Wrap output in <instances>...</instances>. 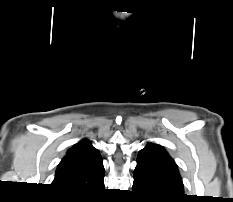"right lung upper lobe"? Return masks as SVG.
Returning a JSON list of instances; mask_svg holds the SVG:
<instances>
[{"label":"right lung upper lobe","mask_w":233,"mask_h":202,"mask_svg":"<svg viewBox=\"0 0 233 202\" xmlns=\"http://www.w3.org/2000/svg\"><path fill=\"white\" fill-rule=\"evenodd\" d=\"M103 178L99 150L83 140L69 149L59 163L52 186L71 195L87 196L104 188Z\"/></svg>","instance_id":"1"}]
</instances>
